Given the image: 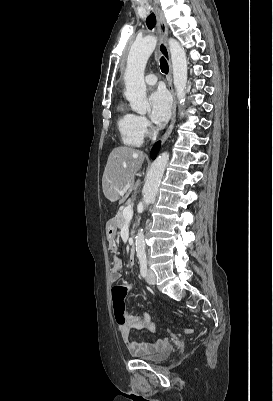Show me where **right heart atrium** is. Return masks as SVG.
<instances>
[{"label": "right heart atrium", "mask_w": 273, "mask_h": 401, "mask_svg": "<svg viewBox=\"0 0 273 401\" xmlns=\"http://www.w3.org/2000/svg\"><path fill=\"white\" fill-rule=\"evenodd\" d=\"M137 129L142 136H151L154 134V129L148 119L143 115H135Z\"/></svg>", "instance_id": "1"}]
</instances>
